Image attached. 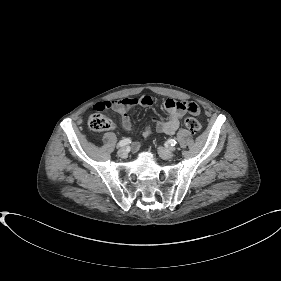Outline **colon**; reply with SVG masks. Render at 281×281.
Instances as JSON below:
<instances>
[{
	"instance_id": "5ec220e1",
	"label": "colon",
	"mask_w": 281,
	"mask_h": 281,
	"mask_svg": "<svg viewBox=\"0 0 281 281\" xmlns=\"http://www.w3.org/2000/svg\"><path fill=\"white\" fill-rule=\"evenodd\" d=\"M188 108L193 114H198L200 111L199 106L193 102L188 104ZM184 124L192 134H198L201 130L199 121L194 117L185 118ZM89 126L94 131H106L112 128L113 124L106 115L98 111L90 116Z\"/></svg>"
}]
</instances>
